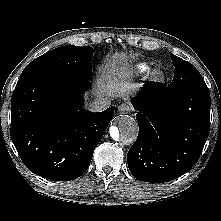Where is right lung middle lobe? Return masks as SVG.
<instances>
[{"mask_svg": "<svg viewBox=\"0 0 221 221\" xmlns=\"http://www.w3.org/2000/svg\"><path fill=\"white\" fill-rule=\"evenodd\" d=\"M94 53L89 46H62L51 50L29 63L21 76L44 73L91 79V59Z\"/></svg>", "mask_w": 221, "mask_h": 221, "instance_id": "1", "label": "right lung middle lobe"}]
</instances>
